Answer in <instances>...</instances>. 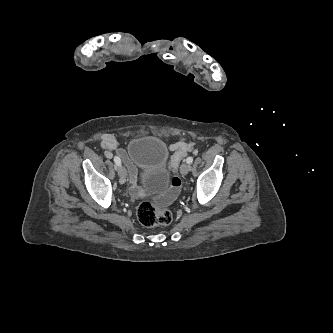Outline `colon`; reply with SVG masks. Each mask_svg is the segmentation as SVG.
<instances>
[{"label":"colon","instance_id":"colon-1","mask_svg":"<svg viewBox=\"0 0 333 333\" xmlns=\"http://www.w3.org/2000/svg\"><path fill=\"white\" fill-rule=\"evenodd\" d=\"M137 218L143 226L154 227L170 223L172 215L168 209L157 206L151 200H144L138 205Z\"/></svg>","mask_w":333,"mask_h":333}]
</instances>
